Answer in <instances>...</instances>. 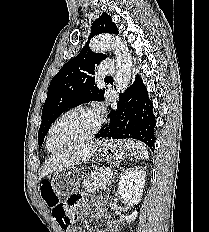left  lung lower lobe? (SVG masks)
<instances>
[{
	"instance_id": "obj_1",
	"label": "left lung lower lobe",
	"mask_w": 209,
	"mask_h": 232,
	"mask_svg": "<svg viewBox=\"0 0 209 232\" xmlns=\"http://www.w3.org/2000/svg\"><path fill=\"white\" fill-rule=\"evenodd\" d=\"M115 110L110 111V121L102 126L96 138L137 139L154 149L156 125L153 105L147 96L142 79L137 76L134 83L120 94Z\"/></svg>"
}]
</instances>
